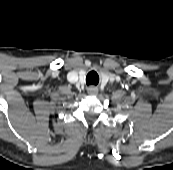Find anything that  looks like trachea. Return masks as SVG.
Listing matches in <instances>:
<instances>
[{
	"label": "trachea",
	"instance_id": "trachea-1",
	"mask_svg": "<svg viewBox=\"0 0 173 170\" xmlns=\"http://www.w3.org/2000/svg\"><path fill=\"white\" fill-rule=\"evenodd\" d=\"M86 83H87V85H89V84H97V79L95 77H93L91 75V73H89L87 75V78H86Z\"/></svg>",
	"mask_w": 173,
	"mask_h": 170
}]
</instances>
